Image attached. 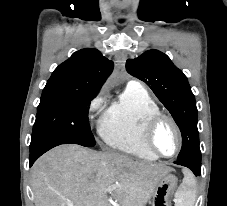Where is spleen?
<instances>
[{
	"label": "spleen",
	"instance_id": "spleen-1",
	"mask_svg": "<svg viewBox=\"0 0 227 206\" xmlns=\"http://www.w3.org/2000/svg\"><path fill=\"white\" fill-rule=\"evenodd\" d=\"M195 201L194 180L186 176L175 194V206H193Z\"/></svg>",
	"mask_w": 227,
	"mask_h": 206
}]
</instances>
